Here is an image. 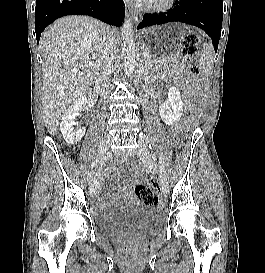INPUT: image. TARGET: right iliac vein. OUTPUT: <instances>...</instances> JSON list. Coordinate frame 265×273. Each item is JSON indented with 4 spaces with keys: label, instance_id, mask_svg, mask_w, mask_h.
I'll use <instances>...</instances> for the list:
<instances>
[{
    "label": "right iliac vein",
    "instance_id": "obj_1",
    "mask_svg": "<svg viewBox=\"0 0 265 273\" xmlns=\"http://www.w3.org/2000/svg\"><path fill=\"white\" fill-rule=\"evenodd\" d=\"M112 143V138L109 135H104L100 145L98 147V157L100 160H104L107 154V151L110 148V145ZM99 173L96 174V177L94 179V182L91 184L89 188V194L91 197H93L99 187Z\"/></svg>",
    "mask_w": 265,
    "mask_h": 273
}]
</instances>
